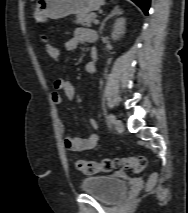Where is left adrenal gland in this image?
Segmentation results:
<instances>
[{"instance_id": "obj_1", "label": "left adrenal gland", "mask_w": 188, "mask_h": 213, "mask_svg": "<svg viewBox=\"0 0 188 213\" xmlns=\"http://www.w3.org/2000/svg\"><path fill=\"white\" fill-rule=\"evenodd\" d=\"M122 14V11L119 9V7H115L112 11H111V13L103 20V22L101 23V26H100V28H99V33L101 34L102 33V30H103V27H104V25H105V22L109 19V18H111V17H113V16H115V15H121Z\"/></svg>"}]
</instances>
